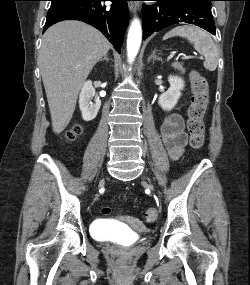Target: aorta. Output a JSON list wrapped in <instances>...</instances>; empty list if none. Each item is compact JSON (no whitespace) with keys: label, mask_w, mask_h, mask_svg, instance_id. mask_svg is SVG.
Returning a JSON list of instances; mask_svg holds the SVG:
<instances>
[{"label":"aorta","mask_w":250,"mask_h":285,"mask_svg":"<svg viewBox=\"0 0 250 285\" xmlns=\"http://www.w3.org/2000/svg\"><path fill=\"white\" fill-rule=\"evenodd\" d=\"M142 40V28L140 21L136 18L132 21L127 37V57L132 63L137 56Z\"/></svg>","instance_id":"obj_1"}]
</instances>
